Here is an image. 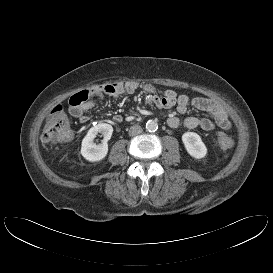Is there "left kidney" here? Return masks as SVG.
<instances>
[{"mask_svg": "<svg viewBox=\"0 0 273 273\" xmlns=\"http://www.w3.org/2000/svg\"><path fill=\"white\" fill-rule=\"evenodd\" d=\"M182 141L185 149L192 157L201 159L206 156L207 148L201 137L195 132H185L182 135Z\"/></svg>", "mask_w": 273, "mask_h": 273, "instance_id": "left-kidney-1", "label": "left kidney"}]
</instances>
